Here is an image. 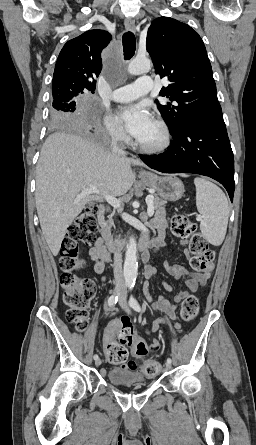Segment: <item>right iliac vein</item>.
I'll return each mask as SVG.
<instances>
[{"label": "right iliac vein", "instance_id": "63e3f726", "mask_svg": "<svg viewBox=\"0 0 256 445\" xmlns=\"http://www.w3.org/2000/svg\"><path fill=\"white\" fill-rule=\"evenodd\" d=\"M101 363H102V361H101V359H99V358L95 361L96 366H100Z\"/></svg>", "mask_w": 256, "mask_h": 445}]
</instances>
